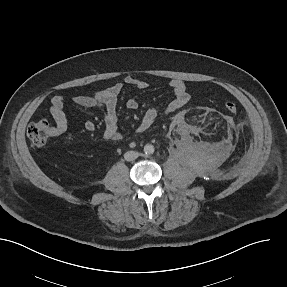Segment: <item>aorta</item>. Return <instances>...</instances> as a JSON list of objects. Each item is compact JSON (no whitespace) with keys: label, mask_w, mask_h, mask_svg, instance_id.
Instances as JSON below:
<instances>
[{"label":"aorta","mask_w":287,"mask_h":287,"mask_svg":"<svg viewBox=\"0 0 287 287\" xmlns=\"http://www.w3.org/2000/svg\"><path fill=\"white\" fill-rule=\"evenodd\" d=\"M144 153H145L146 155H151V154H153V153H154V146L151 145V144H146V145L144 146Z\"/></svg>","instance_id":"aorta-1"}]
</instances>
